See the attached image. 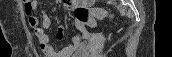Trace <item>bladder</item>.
Here are the masks:
<instances>
[{
  "instance_id": "obj_1",
  "label": "bladder",
  "mask_w": 172,
  "mask_h": 57,
  "mask_svg": "<svg viewBox=\"0 0 172 57\" xmlns=\"http://www.w3.org/2000/svg\"><path fill=\"white\" fill-rule=\"evenodd\" d=\"M72 57H91V56L89 55V52H85V53L75 54Z\"/></svg>"
}]
</instances>
